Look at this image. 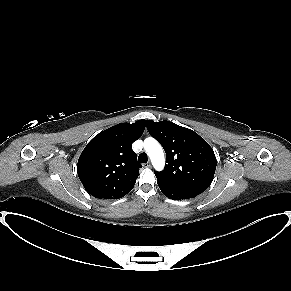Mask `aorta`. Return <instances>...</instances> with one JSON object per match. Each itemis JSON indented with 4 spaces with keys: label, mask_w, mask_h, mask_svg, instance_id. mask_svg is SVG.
<instances>
[{
    "label": "aorta",
    "mask_w": 291,
    "mask_h": 291,
    "mask_svg": "<svg viewBox=\"0 0 291 291\" xmlns=\"http://www.w3.org/2000/svg\"><path fill=\"white\" fill-rule=\"evenodd\" d=\"M144 148L150 157L155 170L161 171L165 163L164 152L161 145L156 139L148 137L144 140Z\"/></svg>",
    "instance_id": "762f6f07"
}]
</instances>
